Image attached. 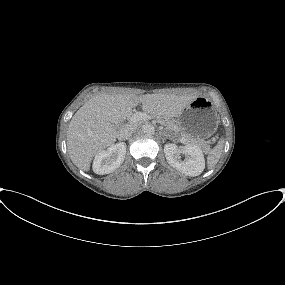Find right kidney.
I'll list each match as a JSON object with an SVG mask.
<instances>
[{"instance_id": "obj_1", "label": "right kidney", "mask_w": 285, "mask_h": 285, "mask_svg": "<svg viewBox=\"0 0 285 285\" xmlns=\"http://www.w3.org/2000/svg\"><path fill=\"white\" fill-rule=\"evenodd\" d=\"M126 154V144L117 143L107 150L98 153L93 161V171L104 175L115 171L123 163Z\"/></svg>"}]
</instances>
